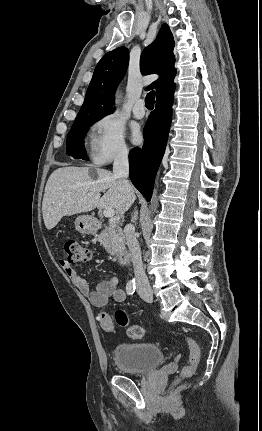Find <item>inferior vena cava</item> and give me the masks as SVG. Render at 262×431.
<instances>
[{
  "label": "inferior vena cava",
  "instance_id": "inferior-vena-cava-1",
  "mask_svg": "<svg viewBox=\"0 0 262 431\" xmlns=\"http://www.w3.org/2000/svg\"><path fill=\"white\" fill-rule=\"evenodd\" d=\"M113 175L119 179H122L125 185L130 189L127 178L129 176V161H128V150L122 148L118 151L114 158L113 163ZM127 245L131 253L133 269L136 279V286L138 291H149L151 292V287L148 278L145 274V269L142 263L141 249L138 240L135 236L134 227L130 226L125 231Z\"/></svg>",
  "mask_w": 262,
  "mask_h": 431
}]
</instances>
